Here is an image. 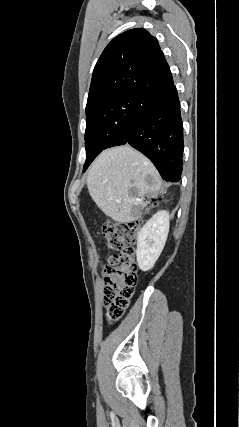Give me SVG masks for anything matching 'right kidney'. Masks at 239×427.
Instances as JSON below:
<instances>
[{"label":"right kidney","instance_id":"obj_1","mask_svg":"<svg viewBox=\"0 0 239 427\" xmlns=\"http://www.w3.org/2000/svg\"><path fill=\"white\" fill-rule=\"evenodd\" d=\"M169 213L158 211L142 227L137 238V263L142 271L150 270L159 258L169 232Z\"/></svg>","mask_w":239,"mask_h":427}]
</instances>
